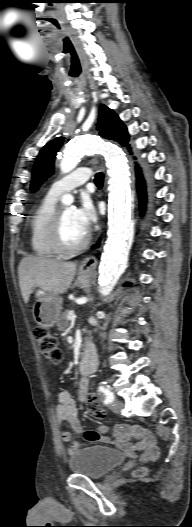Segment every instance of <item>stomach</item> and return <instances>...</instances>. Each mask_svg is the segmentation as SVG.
<instances>
[{
	"label": "stomach",
	"mask_w": 192,
	"mask_h": 527,
	"mask_svg": "<svg viewBox=\"0 0 192 527\" xmlns=\"http://www.w3.org/2000/svg\"><path fill=\"white\" fill-rule=\"evenodd\" d=\"M92 279L93 273L80 270L77 284L82 288H88ZM35 298L32 309L35 322L45 329L53 327L61 313V298L41 288L35 291Z\"/></svg>",
	"instance_id": "0dacf381"
}]
</instances>
